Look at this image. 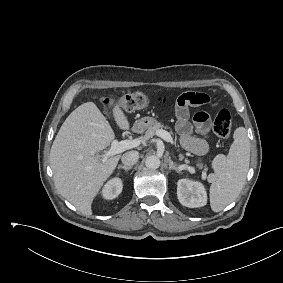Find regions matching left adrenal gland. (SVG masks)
Returning a JSON list of instances; mask_svg holds the SVG:
<instances>
[{
    "label": "left adrenal gland",
    "instance_id": "a2214340",
    "mask_svg": "<svg viewBox=\"0 0 283 283\" xmlns=\"http://www.w3.org/2000/svg\"><path fill=\"white\" fill-rule=\"evenodd\" d=\"M167 162L169 165V170H175L177 173L181 174V170L176 166L170 157L167 158Z\"/></svg>",
    "mask_w": 283,
    "mask_h": 283
}]
</instances>
